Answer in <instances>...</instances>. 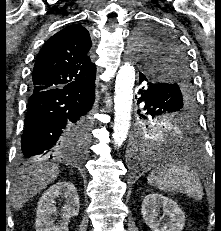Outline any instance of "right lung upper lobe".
I'll return each instance as SVG.
<instances>
[{
	"label": "right lung upper lobe",
	"instance_id": "cb5924a9",
	"mask_svg": "<svg viewBox=\"0 0 221 231\" xmlns=\"http://www.w3.org/2000/svg\"><path fill=\"white\" fill-rule=\"evenodd\" d=\"M92 42L88 30L70 25L49 38L39 51L33 69L30 92L67 85L84 86L95 80Z\"/></svg>",
	"mask_w": 221,
	"mask_h": 231
}]
</instances>
